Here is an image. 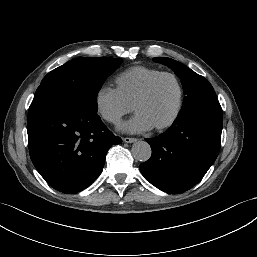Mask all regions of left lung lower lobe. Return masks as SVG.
Returning a JSON list of instances; mask_svg holds the SVG:
<instances>
[{"instance_id": "left-lung-lower-lobe-1", "label": "left lung lower lobe", "mask_w": 257, "mask_h": 257, "mask_svg": "<svg viewBox=\"0 0 257 257\" xmlns=\"http://www.w3.org/2000/svg\"><path fill=\"white\" fill-rule=\"evenodd\" d=\"M223 113L218 100L178 116L163 134L146 139L151 158L139 168L155 187L181 193L196 185L220 149Z\"/></svg>"}]
</instances>
